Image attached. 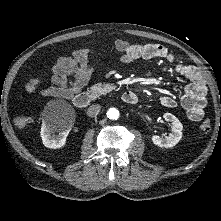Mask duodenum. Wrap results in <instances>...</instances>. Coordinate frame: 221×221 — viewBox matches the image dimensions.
I'll use <instances>...</instances> for the list:
<instances>
[{
	"instance_id": "obj_1",
	"label": "duodenum",
	"mask_w": 221,
	"mask_h": 221,
	"mask_svg": "<svg viewBox=\"0 0 221 221\" xmlns=\"http://www.w3.org/2000/svg\"><path fill=\"white\" fill-rule=\"evenodd\" d=\"M91 96L88 93H78L73 97V104L79 109L86 108L91 103ZM122 101L126 104H136L138 97L133 91H126L122 95Z\"/></svg>"
}]
</instances>
